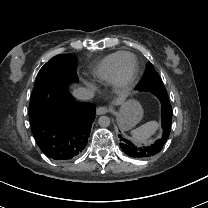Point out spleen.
<instances>
[{"mask_svg":"<svg viewBox=\"0 0 208 208\" xmlns=\"http://www.w3.org/2000/svg\"><path fill=\"white\" fill-rule=\"evenodd\" d=\"M158 123L156 122H147L144 125L133 130L135 141H146L150 138L151 134L158 130Z\"/></svg>","mask_w":208,"mask_h":208,"instance_id":"obj_1","label":"spleen"}]
</instances>
